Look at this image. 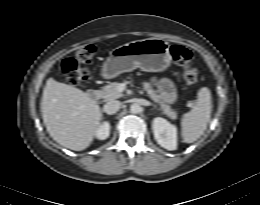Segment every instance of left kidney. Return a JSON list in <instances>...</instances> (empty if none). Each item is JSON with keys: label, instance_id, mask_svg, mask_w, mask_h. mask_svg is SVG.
Returning <instances> with one entry per match:
<instances>
[{"label": "left kidney", "instance_id": "5707ae66", "mask_svg": "<svg viewBox=\"0 0 260 205\" xmlns=\"http://www.w3.org/2000/svg\"><path fill=\"white\" fill-rule=\"evenodd\" d=\"M152 129L157 143L167 149H177V128L166 119L157 117L152 122Z\"/></svg>", "mask_w": 260, "mask_h": 205}]
</instances>
